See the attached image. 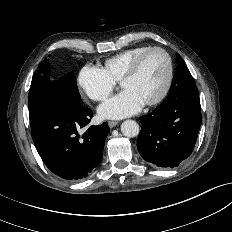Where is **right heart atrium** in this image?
<instances>
[{
  "instance_id": "1",
  "label": "right heart atrium",
  "mask_w": 232,
  "mask_h": 232,
  "mask_svg": "<svg viewBox=\"0 0 232 232\" xmlns=\"http://www.w3.org/2000/svg\"><path fill=\"white\" fill-rule=\"evenodd\" d=\"M78 85L89 99L103 101L114 90L115 82L102 68L85 65L78 74Z\"/></svg>"
}]
</instances>
